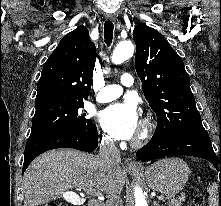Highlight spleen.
<instances>
[{
    "label": "spleen",
    "instance_id": "3e777b00",
    "mask_svg": "<svg viewBox=\"0 0 221 206\" xmlns=\"http://www.w3.org/2000/svg\"><path fill=\"white\" fill-rule=\"evenodd\" d=\"M209 206H218V192L214 185L209 189Z\"/></svg>",
    "mask_w": 221,
    "mask_h": 206
}]
</instances>
